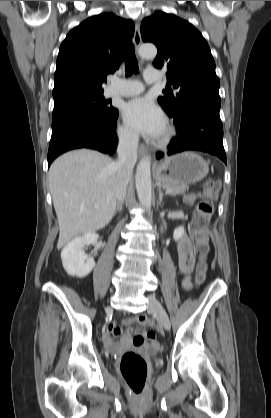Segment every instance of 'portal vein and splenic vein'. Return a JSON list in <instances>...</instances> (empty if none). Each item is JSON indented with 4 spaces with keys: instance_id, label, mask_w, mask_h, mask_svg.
Instances as JSON below:
<instances>
[{
    "instance_id": "1",
    "label": "portal vein and splenic vein",
    "mask_w": 271,
    "mask_h": 418,
    "mask_svg": "<svg viewBox=\"0 0 271 418\" xmlns=\"http://www.w3.org/2000/svg\"><path fill=\"white\" fill-rule=\"evenodd\" d=\"M171 191H172L171 189H166L165 192H166V194H169V193H171ZM95 207H98V204H95Z\"/></svg>"
}]
</instances>
